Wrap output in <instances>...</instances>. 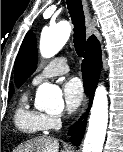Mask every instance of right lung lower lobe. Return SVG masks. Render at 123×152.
Listing matches in <instances>:
<instances>
[{
  "label": "right lung lower lobe",
  "mask_w": 123,
  "mask_h": 152,
  "mask_svg": "<svg viewBox=\"0 0 123 152\" xmlns=\"http://www.w3.org/2000/svg\"><path fill=\"white\" fill-rule=\"evenodd\" d=\"M102 66L100 43L95 36L87 41L86 52L82 62V76L86 93L90 94V106L92 104L95 88L98 83L100 70ZM85 122L74 124L69 135L76 134L72 140L74 145H79L84 134Z\"/></svg>",
  "instance_id": "right-lung-lower-lobe-1"
}]
</instances>
